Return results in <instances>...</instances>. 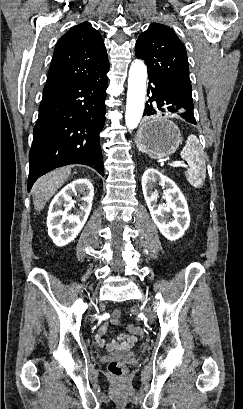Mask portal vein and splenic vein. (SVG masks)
I'll return each instance as SVG.
<instances>
[{"label":"portal vein and splenic vein","instance_id":"portal-vein-and-splenic-vein-1","mask_svg":"<svg viewBox=\"0 0 243 409\" xmlns=\"http://www.w3.org/2000/svg\"><path fill=\"white\" fill-rule=\"evenodd\" d=\"M170 165L174 166V167H186L185 163H183V162H177V163H173V164H170Z\"/></svg>","mask_w":243,"mask_h":409}]
</instances>
